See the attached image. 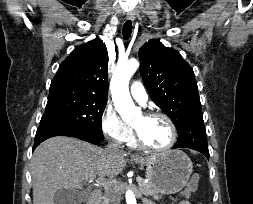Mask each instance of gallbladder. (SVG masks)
Returning a JSON list of instances; mask_svg holds the SVG:
<instances>
[{
  "instance_id": "bac80fb5",
  "label": "gallbladder",
  "mask_w": 253,
  "mask_h": 204,
  "mask_svg": "<svg viewBox=\"0 0 253 204\" xmlns=\"http://www.w3.org/2000/svg\"><path fill=\"white\" fill-rule=\"evenodd\" d=\"M90 197L88 189L79 191L61 189L54 194V204H81Z\"/></svg>"
}]
</instances>
